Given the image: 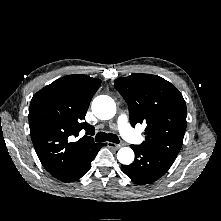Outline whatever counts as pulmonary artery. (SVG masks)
Returning a JSON list of instances; mask_svg holds the SVG:
<instances>
[{
	"label": "pulmonary artery",
	"instance_id": "1",
	"mask_svg": "<svg viewBox=\"0 0 221 221\" xmlns=\"http://www.w3.org/2000/svg\"><path fill=\"white\" fill-rule=\"evenodd\" d=\"M116 128L120 132V134L132 143H139L140 137L137 136L128 122V116L126 114H121L116 121Z\"/></svg>",
	"mask_w": 221,
	"mask_h": 221
}]
</instances>
